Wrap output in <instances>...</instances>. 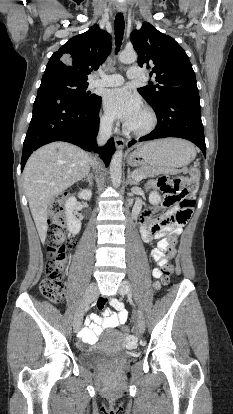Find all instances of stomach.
Segmentation results:
<instances>
[{"mask_svg": "<svg viewBox=\"0 0 233 414\" xmlns=\"http://www.w3.org/2000/svg\"><path fill=\"white\" fill-rule=\"evenodd\" d=\"M195 155V147L190 142L168 138L139 145L128 155V163L159 172H176L193 161Z\"/></svg>", "mask_w": 233, "mask_h": 414, "instance_id": "1", "label": "stomach"}]
</instances>
